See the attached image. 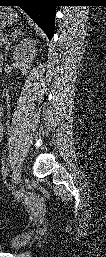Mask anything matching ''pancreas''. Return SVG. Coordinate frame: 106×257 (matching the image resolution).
Wrapping results in <instances>:
<instances>
[{"mask_svg":"<svg viewBox=\"0 0 106 257\" xmlns=\"http://www.w3.org/2000/svg\"><path fill=\"white\" fill-rule=\"evenodd\" d=\"M5 38H2V40H4ZM3 43H5V42H3V41H1V44H3Z\"/></svg>","mask_w":106,"mask_h":257,"instance_id":"obj_1","label":"pancreas"}]
</instances>
